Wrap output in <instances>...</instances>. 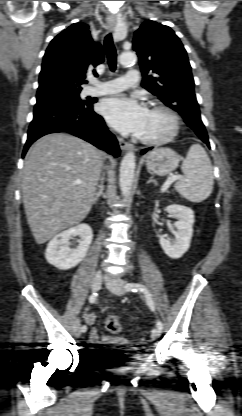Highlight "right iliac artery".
<instances>
[{"instance_id": "1", "label": "right iliac artery", "mask_w": 242, "mask_h": 416, "mask_svg": "<svg viewBox=\"0 0 242 416\" xmlns=\"http://www.w3.org/2000/svg\"><path fill=\"white\" fill-rule=\"evenodd\" d=\"M95 301H96V293H93V294L89 297V302H90V303H95ZM86 330H87V326H86V325H83V326L81 327V331H82V332H86Z\"/></svg>"}]
</instances>
